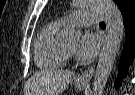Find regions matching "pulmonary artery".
<instances>
[{
	"instance_id": "obj_1",
	"label": "pulmonary artery",
	"mask_w": 135,
	"mask_h": 95,
	"mask_svg": "<svg viewBox=\"0 0 135 95\" xmlns=\"http://www.w3.org/2000/svg\"><path fill=\"white\" fill-rule=\"evenodd\" d=\"M104 17L102 11L97 10H77L64 18L67 24H74L78 26H86L92 23H99Z\"/></svg>"
}]
</instances>
